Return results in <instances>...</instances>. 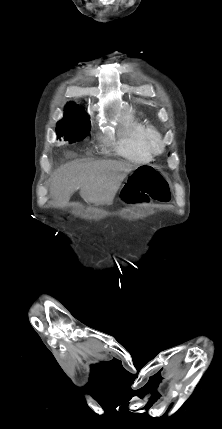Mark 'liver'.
Returning <instances> with one entry per match:
<instances>
[{"label": "liver", "mask_w": 222, "mask_h": 429, "mask_svg": "<svg viewBox=\"0 0 222 429\" xmlns=\"http://www.w3.org/2000/svg\"><path fill=\"white\" fill-rule=\"evenodd\" d=\"M135 169V165L117 160L65 164L51 176L50 194L54 205H67L77 190L87 203L110 205L127 174Z\"/></svg>", "instance_id": "liver-1"}]
</instances>
